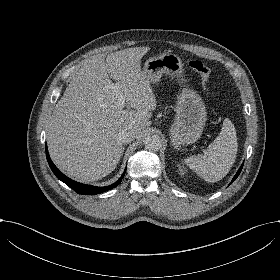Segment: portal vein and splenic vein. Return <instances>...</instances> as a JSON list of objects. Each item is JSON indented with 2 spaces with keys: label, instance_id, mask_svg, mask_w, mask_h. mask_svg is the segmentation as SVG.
<instances>
[{
  "label": "portal vein and splenic vein",
  "instance_id": "18ae733b",
  "mask_svg": "<svg viewBox=\"0 0 280 280\" xmlns=\"http://www.w3.org/2000/svg\"><path fill=\"white\" fill-rule=\"evenodd\" d=\"M119 104H120V108H124V104H125V100L123 96H119V100H118Z\"/></svg>",
  "mask_w": 280,
  "mask_h": 280
}]
</instances>
